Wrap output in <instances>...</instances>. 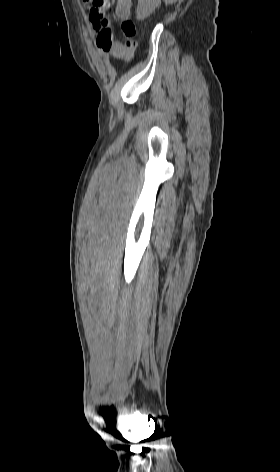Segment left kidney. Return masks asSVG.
<instances>
[{
  "label": "left kidney",
  "mask_w": 280,
  "mask_h": 472,
  "mask_svg": "<svg viewBox=\"0 0 280 472\" xmlns=\"http://www.w3.org/2000/svg\"><path fill=\"white\" fill-rule=\"evenodd\" d=\"M168 1V0H165ZM158 6V0H138L137 19L143 20L148 17Z\"/></svg>",
  "instance_id": "obj_1"
}]
</instances>
